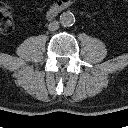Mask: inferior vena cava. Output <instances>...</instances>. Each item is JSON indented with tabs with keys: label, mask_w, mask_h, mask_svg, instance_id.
Wrapping results in <instances>:
<instances>
[{
	"label": "inferior vena cava",
	"mask_w": 128,
	"mask_h": 128,
	"mask_svg": "<svg viewBox=\"0 0 128 128\" xmlns=\"http://www.w3.org/2000/svg\"><path fill=\"white\" fill-rule=\"evenodd\" d=\"M59 28V22L58 21H52L48 24V29L50 31H55Z\"/></svg>",
	"instance_id": "obj_1"
}]
</instances>
